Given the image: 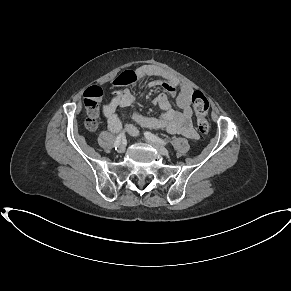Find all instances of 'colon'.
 I'll list each match as a JSON object with an SVG mask.
<instances>
[{"label":"colon","instance_id":"1","mask_svg":"<svg viewBox=\"0 0 291 291\" xmlns=\"http://www.w3.org/2000/svg\"><path fill=\"white\" fill-rule=\"evenodd\" d=\"M102 95L103 90L97 86H92L88 88L85 93L84 106L88 114V118L85 122V127L89 131H94L97 128L98 102ZM192 103L196 114L198 130L202 134H207L210 130V123L207 118L209 101L202 92L195 91L192 94Z\"/></svg>","mask_w":291,"mask_h":291}]
</instances>
